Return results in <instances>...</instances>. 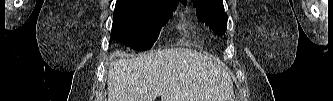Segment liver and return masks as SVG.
<instances>
[{"mask_svg": "<svg viewBox=\"0 0 333 101\" xmlns=\"http://www.w3.org/2000/svg\"><path fill=\"white\" fill-rule=\"evenodd\" d=\"M108 101H233L224 68L187 48L157 50L137 58L111 54Z\"/></svg>", "mask_w": 333, "mask_h": 101, "instance_id": "6515ba94", "label": "liver"}]
</instances>
